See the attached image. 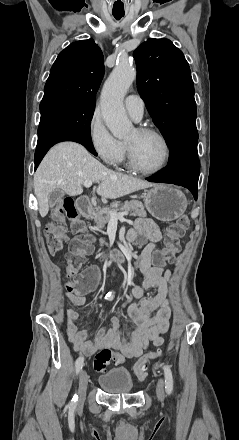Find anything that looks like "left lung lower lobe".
<instances>
[{
    "instance_id": "left-lung-lower-lobe-1",
    "label": "left lung lower lobe",
    "mask_w": 239,
    "mask_h": 440,
    "mask_svg": "<svg viewBox=\"0 0 239 440\" xmlns=\"http://www.w3.org/2000/svg\"><path fill=\"white\" fill-rule=\"evenodd\" d=\"M198 132L182 135L170 146L167 169L147 178L151 182L181 185L190 190L197 200L200 164L197 154Z\"/></svg>"
}]
</instances>
